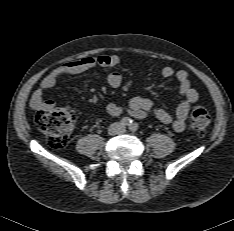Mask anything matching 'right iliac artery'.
Returning a JSON list of instances; mask_svg holds the SVG:
<instances>
[{"label":"right iliac artery","instance_id":"82829eb1","mask_svg":"<svg viewBox=\"0 0 234 231\" xmlns=\"http://www.w3.org/2000/svg\"><path fill=\"white\" fill-rule=\"evenodd\" d=\"M132 120L128 117H124L121 119V124L124 126H130L132 124Z\"/></svg>","mask_w":234,"mask_h":231}]
</instances>
